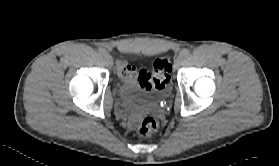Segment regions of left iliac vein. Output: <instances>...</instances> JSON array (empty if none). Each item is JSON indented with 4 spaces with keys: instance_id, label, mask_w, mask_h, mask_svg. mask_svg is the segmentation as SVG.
I'll use <instances>...</instances> for the list:
<instances>
[{
    "instance_id": "obj_1",
    "label": "left iliac vein",
    "mask_w": 279,
    "mask_h": 166,
    "mask_svg": "<svg viewBox=\"0 0 279 166\" xmlns=\"http://www.w3.org/2000/svg\"><path fill=\"white\" fill-rule=\"evenodd\" d=\"M182 63V56H178L175 60L174 68L178 69L181 66Z\"/></svg>"
}]
</instances>
